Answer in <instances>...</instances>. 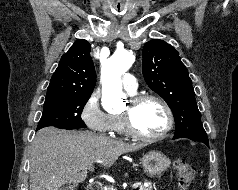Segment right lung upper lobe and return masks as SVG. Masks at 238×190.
I'll list each match as a JSON object with an SVG mask.
<instances>
[{
  "instance_id": "cb5924a9",
  "label": "right lung upper lobe",
  "mask_w": 238,
  "mask_h": 190,
  "mask_svg": "<svg viewBox=\"0 0 238 190\" xmlns=\"http://www.w3.org/2000/svg\"><path fill=\"white\" fill-rule=\"evenodd\" d=\"M96 83L93 61L90 56V44L86 40H77L65 53L52 75L46 98L68 95H89Z\"/></svg>"
}]
</instances>
